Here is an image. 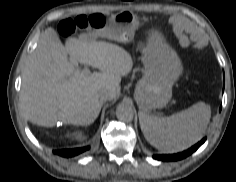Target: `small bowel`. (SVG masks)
Instances as JSON below:
<instances>
[{"label":"small bowel","mask_w":236,"mask_h":182,"mask_svg":"<svg viewBox=\"0 0 236 182\" xmlns=\"http://www.w3.org/2000/svg\"><path fill=\"white\" fill-rule=\"evenodd\" d=\"M172 22H173V25H174L175 33L177 34L180 43L182 45H186L187 44V38L183 34L184 22L179 17H174L172 19Z\"/></svg>","instance_id":"1"}]
</instances>
